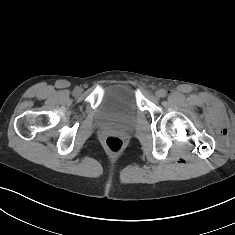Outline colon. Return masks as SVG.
I'll list each match as a JSON object with an SVG mask.
<instances>
[{
  "label": "colon",
  "mask_w": 235,
  "mask_h": 235,
  "mask_svg": "<svg viewBox=\"0 0 235 235\" xmlns=\"http://www.w3.org/2000/svg\"><path fill=\"white\" fill-rule=\"evenodd\" d=\"M105 147L112 154H119L124 147L123 140L115 135L108 136L105 139Z\"/></svg>",
  "instance_id": "colon-1"
}]
</instances>
